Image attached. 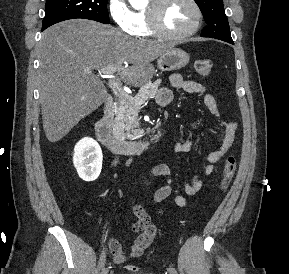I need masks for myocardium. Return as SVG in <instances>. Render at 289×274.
Masks as SVG:
<instances>
[{
	"label": "myocardium",
	"instance_id": "myocardium-1",
	"mask_svg": "<svg viewBox=\"0 0 289 274\" xmlns=\"http://www.w3.org/2000/svg\"><path fill=\"white\" fill-rule=\"evenodd\" d=\"M170 1L171 0H152L147 10V18L151 31L158 37L174 41L184 40L193 36L200 29L203 20V13L200 5L196 0H188L192 5L196 16L193 26L182 33H171L167 31L162 24L164 8Z\"/></svg>",
	"mask_w": 289,
	"mask_h": 274
}]
</instances>
